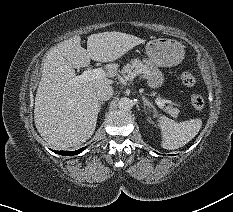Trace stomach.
<instances>
[{
	"mask_svg": "<svg viewBox=\"0 0 233 212\" xmlns=\"http://www.w3.org/2000/svg\"><path fill=\"white\" fill-rule=\"evenodd\" d=\"M145 50L148 56L145 64L150 67V72L145 77L148 85L155 89L160 87L164 81L163 74L158 67L178 65L184 58V47L175 40L157 38L147 42Z\"/></svg>",
	"mask_w": 233,
	"mask_h": 212,
	"instance_id": "1",
	"label": "stomach"
}]
</instances>
